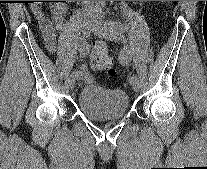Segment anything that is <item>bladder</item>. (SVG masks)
I'll list each match as a JSON object with an SVG mask.
<instances>
[{"instance_id":"31cf9c89","label":"bladder","mask_w":207,"mask_h":169,"mask_svg":"<svg viewBox=\"0 0 207 169\" xmlns=\"http://www.w3.org/2000/svg\"><path fill=\"white\" fill-rule=\"evenodd\" d=\"M78 107L87 118L92 120H118L129 110V97L118 88L89 84L79 92Z\"/></svg>"}]
</instances>
